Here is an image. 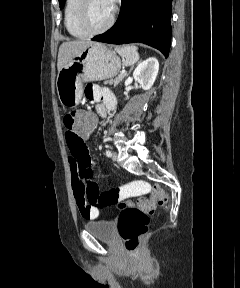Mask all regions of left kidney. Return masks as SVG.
<instances>
[{
    "label": "left kidney",
    "mask_w": 240,
    "mask_h": 288,
    "mask_svg": "<svg viewBox=\"0 0 240 288\" xmlns=\"http://www.w3.org/2000/svg\"><path fill=\"white\" fill-rule=\"evenodd\" d=\"M159 62L155 57H149L138 64L133 72V76L125 81V85H130L133 81H137L143 90H149L158 75Z\"/></svg>",
    "instance_id": "obj_1"
}]
</instances>
